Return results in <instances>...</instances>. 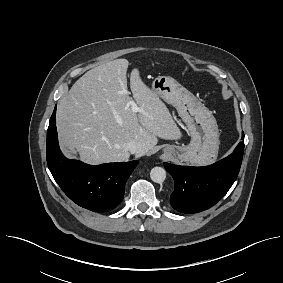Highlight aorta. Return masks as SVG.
Wrapping results in <instances>:
<instances>
[{
    "label": "aorta",
    "instance_id": "762f6f07",
    "mask_svg": "<svg viewBox=\"0 0 283 283\" xmlns=\"http://www.w3.org/2000/svg\"><path fill=\"white\" fill-rule=\"evenodd\" d=\"M150 178L155 183H163L166 179V171L162 167H154L150 171Z\"/></svg>",
    "mask_w": 283,
    "mask_h": 283
}]
</instances>
